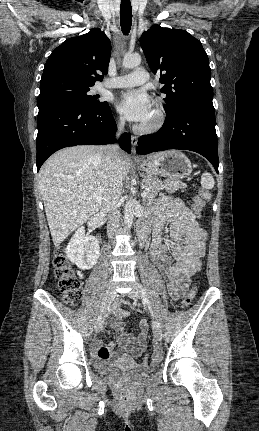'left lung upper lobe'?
<instances>
[{"label": "left lung upper lobe", "mask_w": 259, "mask_h": 431, "mask_svg": "<svg viewBox=\"0 0 259 431\" xmlns=\"http://www.w3.org/2000/svg\"><path fill=\"white\" fill-rule=\"evenodd\" d=\"M140 44L152 71L163 72L166 113L186 105L214 110L209 60L198 39L187 31L155 24L142 34Z\"/></svg>", "instance_id": "obj_1"}]
</instances>
